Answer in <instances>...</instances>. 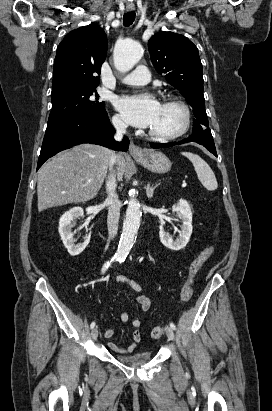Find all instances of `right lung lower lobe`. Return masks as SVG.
Listing matches in <instances>:
<instances>
[{"instance_id": "1", "label": "right lung lower lobe", "mask_w": 272, "mask_h": 411, "mask_svg": "<svg viewBox=\"0 0 272 411\" xmlns=\"http://www.w3.org/2000/svg\"><path fill=\"white\" fill-rule=\"evenodd\" d=\"M114 129L107 112L103 114H80L47 125L38 159L37 170L58 152L81 143L98 144L117 151H126L129 140L113 139Z\"/></svg>"}]
</instances>
